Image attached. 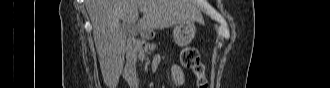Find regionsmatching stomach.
<instances>
[{
	"label": "stomach",
	"instance_id": "stomach-1",
	"mask_svg": "<svg viewBox=\"0 0 330 88\" xmlns=\"http://www.w3.org/2000/svg\"><path fill=\"white\" fill-rule=\"evenodd\" d=\"M196 34L194 23L178 24L173 30V39L180 47H185L193 40Z\"/></svg>",
	"mask_w": 330,
	"mask_h": 88
}]
</instances>
